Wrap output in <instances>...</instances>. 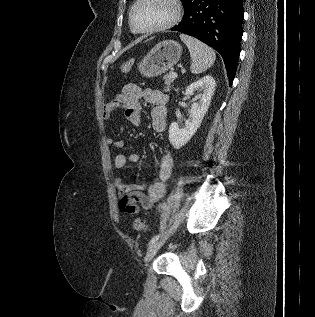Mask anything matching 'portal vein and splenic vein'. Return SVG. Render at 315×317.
<instances>
[{
  "instance_id": "1",
  "label": "portal vein and splenic vein",
  "mask_w": 315,
  "mask_h": 317,
  "mask_svg": "<svg viewBox=\"0 0 315 317\" xmlns=\"http://www.w3.org/2000/svg\"><path fill=\"white\" fill-rule=\"evenodd\" d=\"M169 75H170V77H172V78H176L178 75H177V73L176 72H170L169 73Z\"/></svg>"
}]
</instances>
